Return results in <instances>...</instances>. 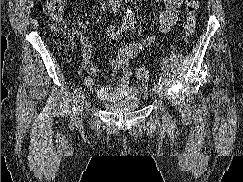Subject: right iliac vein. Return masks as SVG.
Returning <instances> with one entry per match:
<instances>
[{"label":"right iliac vein","instance_id":"63e3f726","mask_svg":"<svg viewBox=\"0 0 243 182\" xmlns=\"http://www.w3.org/2000/svg\"><path fill=\"white\" fill-rule=\"evenodd\" d=\"M84 102H85V97L84 94H82L79 99L78 102L76 104V124L79 126L81 125L82 121H83V106H84Z\"/></svg>","mask_w":243,"mask_h":182}]
</instances>
